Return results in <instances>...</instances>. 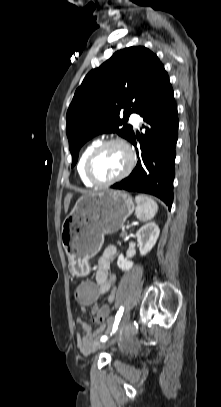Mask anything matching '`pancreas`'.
<instances>
[{
  "mask_svg": "<svg viewBox=\"0 0 221 407\" xmlns=\"http://www.w3.org/2000/svg\"><path fill=\"white\" fill-rule=\"evenodd\" d=\"M126 235H127V233H126V231L123 229L122 232H121V234H120V236H121V237H125Z\"/></svg>",
  "mask_w": 221,
  "mask_h": 407,
  "instance_id": "cf45deb5",
  "label": "pancreas"
}]
</instances>
